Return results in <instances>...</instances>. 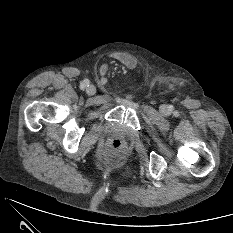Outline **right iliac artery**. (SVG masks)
Wrapping results in <instances>:
<instances>
[{
  "mask_svg": "<svg viewBox=\"0 0 233 233\" xmlns=\"http://www.w3.org/2000/svg\"><path fill=\"white\" fill-rule=\"evenodd\" d=\"M88 85H89V80L86 79L80 84V88L85 89V87H87Z\"/></svg>",
  "mask_w": 233,
  "mask_h": 233,
  "instance_id": "right-iliac-artery-1",
  "label": "right iliac artery"
}]
</instances>
